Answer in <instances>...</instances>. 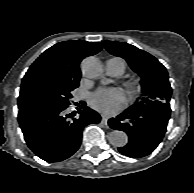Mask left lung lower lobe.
Returning <instances> with one entry per match:
<instances>
[{
	"mask_svg": "<svg viewBox=\"0 0 194 193\" xmlns=\"http://www.w3.org/2000/svg\"><path fill=\"white\" fill-rule=\"evenodd\" d=\"M171 109L169 103L127 109L108 121L109 126L128 135V143L118 150L129 157H144L156 149L166 132Z\"/></svg>",
	"mask_w": 194,
	"mask_h": 193,
	"instance_id": "0a47b994",
	"label": "left lung lower lobe"
}]
</instances>
